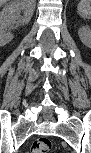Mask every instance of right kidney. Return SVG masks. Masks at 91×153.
<instances>
[{"mask_svg": "<svg viewBox=\"0 0 91 153\" xmlns=\"http://www.w3.org/2000/svg\"><path fill=\"white\" fill-rule=\"evenodd\" d=\"M34 9L35 4H31L29 0H15L3 7L0 13L1 46L8 44L13 39L10 30L14 25H24L30 22ZM22 12L23 16H21Z\"/></svg>", "mask_w": 91, "mask_h": 153, "instance_id": "obj_1", "label": "right kidney"}]
</instances>
